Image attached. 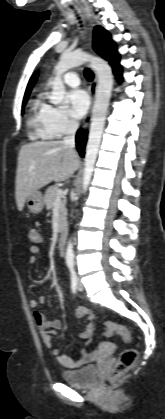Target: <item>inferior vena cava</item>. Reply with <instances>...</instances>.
I'll use <instances>...</instances> for the list:
<instances>
[{"mask_svg": "<svg viewBox=\"0 0 165 419\" xmlns=\"http://www.w3.org/2000/svg\"><path fill=\"white\" fill-rule=\"evenodd\" d=\"M79 126V122L75 119H70L68 121V125H67V129H66V136L64 137V144L71 148L74 149L75 147V134L76 131L78 129Z\"/></svg>", "mask_w": 165, "mask_h": 419, "instance_id": "obj_1", "label": "inferior vena cava"}]
</instances>
